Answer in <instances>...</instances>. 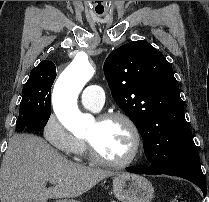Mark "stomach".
I'll use <instances>...</instances> for the list:
<instances>
[{
	"instance_id": "stomach-1",
	"label": "stomach",
	"mask_w": 209,
	"mask_h": 202,
	"mask_svg": "<svg viewBox=\"0 0 209 202\" xmlns=\"http://www.w3.org/2000/svg\"><path fill=\"white\" fill-rule=\"evenodd\" d=\"M113 193L120 202H150L154 188L143 176L123 173L113 179ZM59 202H76L63 200Z\"/></svg>"
}]
</instances>
